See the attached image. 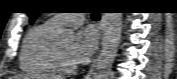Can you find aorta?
Here are the masks:
<instances>
[{
    "mask_svg": "<svg viewBox=\"0 0 177 79\" xmlns=\"http://www.w3.org/2000/svg\"><path fill=\"white\" fill-rule=\"evenodd\" d=\"M104 37L99 54L96 72L93 79H109L113 62L117 55L122 32V13H104ZM61 41L69 42L74 39V33L64 29L59 33Z\"/></svg>",
    "mask_w": 177,
    "mask_h": 79,
    "instance_id": "aorta-1",
    "label": "aorta"
}]
</instances>
